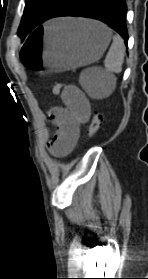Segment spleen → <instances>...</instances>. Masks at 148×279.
Returning a JSON list of instances; mask_svg holds the SVG:
<instances>
[{
  "label": "spleen",
  "mask_w": 148,
  "mask_h": 279,
  "mask_svg": "<svg viewBox=\"0 0 148 279\" xmlns=\"http://www.w3.org/2000/svg\"><path fill=\"white\" fill-rule=\"evenodd\" d=\"M125 44L119 35L113 36L112 45L104 60L106 73H120L124 63ZM88 71L82 72L80 76V84L93 98H105L109 96L115 89V80L106 81L104 79H97L95 81L88 80L86 74Z\"/></svg>",
  "instance_id": "1"
}]
</instances>
